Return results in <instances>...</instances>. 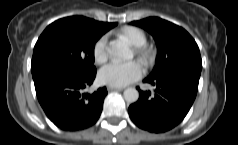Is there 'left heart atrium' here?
I'll return each mask as SVG.
<instances>
[{
	"label": "left heart atrium",
	"mask_w": 238,
	"mask_h": 145,
	"mask_svg": "<svg viewBox=\"0 0 238 145\" xmlns=\"http://www.w3.org/2000/svg\"><path fill=\"white\" fill-rule=\"evenodd\" d=\"M141 75V68L137 62L113 61L103 66L98 78L102 84L111 87H123Z\"/></svg>",
	"instance_id": "39dd6f15"
}]
</instances>
